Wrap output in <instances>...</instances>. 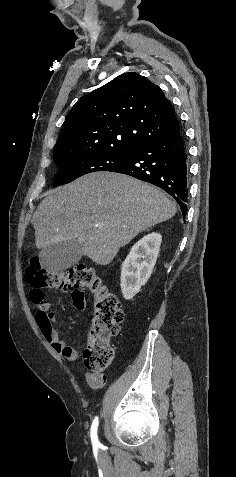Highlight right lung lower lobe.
Listing matches in <instances>:
<instances>
[{"label":"right lung lower lobe","mask_w":236,"mask_h":477,"mask_svg":"<svg viewBox=\"0 0 236 477\" xmlns=\"http://www.w3.org/2000/svg\"><path fill=\"white\" fill-rule=\"evenodd\" d=\"M128 161L111 172L122 173L154 184L170 194L183 216L188 201V156L184 134L179 126L164 138L128 155Z\"/></svg>","instance_id":"1"}]
</instances>
